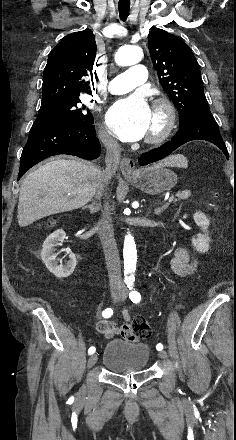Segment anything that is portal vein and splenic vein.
I'll return each mask as SVG.
<instances>
[{
    "instance_id": "1",
    "label": "portal vein and splenic vein",
    "mask_w": 236,
    "mask_h": 440,
    "mask_svg": "<svg viewBox=\"0 0 236 440\" xmlns=\"http://www.w3.org/2000/svg\"><path fill=\"white\" fill-rule=\"evenodd\" d=\"M174 200V196L172 195L170 198H169V202H172Z\"/></svg>"
}]
</instances>
